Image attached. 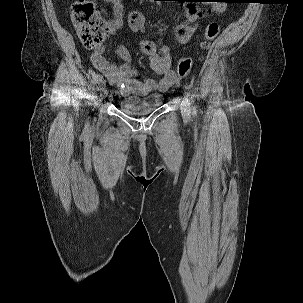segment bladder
<instances>
[{
  "label": "bladder",
  "mask_w": 303,
  "mask_h": 303,
  "mask_svg": "<svg viewBox=\"0 0 303 303\" xmlns=\"http://www.w3.org/2000/svg\"><path fill=\"white\" fill-rule=\"evenodd\" d=\"M164 100L163 94H123L119 100L121 111L132 115L142 116L158 109Z\"/></svg>",
  "instance_id": "obj_1"
}]
</instances>
